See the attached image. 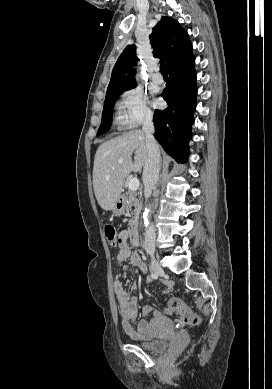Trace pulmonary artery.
<instances>
[{
	"label": "pulmonary artery",
	"mask_w": 272,
	"mask_h": 389,
	"mask_svg": "<svg viewBox=\"0 0 272 389\" xmlns=\"http://www.w3.org/2000/svg\"><path fill=\"white\" fill-rule=\"evenodd\" d=\"M152 81L155 84H161L163 82V78L159 73H153L152 75Z\"/></svg>",
	"instance_id": "pulmonary-artery-1"
}]
</instances>
